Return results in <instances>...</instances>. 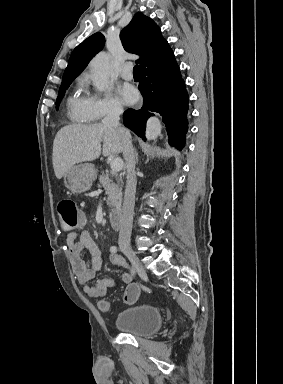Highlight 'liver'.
I'll use <instances>...</instances> for the list:
<instances>
[{
  "label": "liver",
  "instance_id": "6515ba94",
  "mask_svg": "<svg viewBox=\"0 0 283 384\" xmlns=\"http://www.w3.org/2000/svg\"><path fill=\"white\" fill-rule=\"evenodd\" d=\"M101 142L103 146L101 148ZM114 156L123 152L121 136L113 126L105 124H71L57 132L53 144V168L61 180L69 168L80 162H93L100 154Z\"/></svg>",
  "mask_w": 283,
  "mask_h": 384
}]
</instances>
